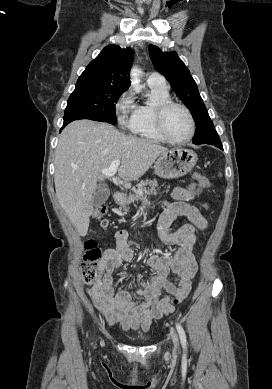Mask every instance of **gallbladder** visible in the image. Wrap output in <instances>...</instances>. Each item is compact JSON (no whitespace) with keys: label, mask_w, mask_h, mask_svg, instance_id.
Masks as SVG:
<instances>
[{"label":"gallbladder","mask_w":272,"mask_h":389,"mask_svg":"<svg viewBox=\"0 0 272 389\" xmlns=\"http://www.w3.org/2000/svg\"><path fill=\"white\" fill-rule=\"evenodd\" d=\"M110 191L105 187H98L92 198L93 207L97 208L104 204L109 198Z\"/></svg>","instance_id":"1"}]
</instances>
